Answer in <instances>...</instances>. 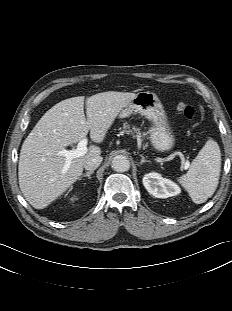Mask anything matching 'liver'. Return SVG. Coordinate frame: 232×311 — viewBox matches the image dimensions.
Segmentation results:
<instances>
[{
	"instance_id": "1",
	"label": "liver",
	"mask_w": 232,
	"mask_h": 311,
	"mask_svg": "<svg viewBox=\"0 0 232 311\" xmlns=\"http://www.w3.org/2000/svg\"><path fill=\"white\" fill-rule=\"evenodd\" d=\"M136 96L130 92L108 91L72 97L55 104L37 122L24 140L20 151L19 187L25 199L35 208L44 209L63 194L83 172L85 161L101 154L100 147L90 145L88 152L74 158L62 173L66 158L59 151L86 138L103 142L120 111Z\"/></svg>"
}]
</instances>
